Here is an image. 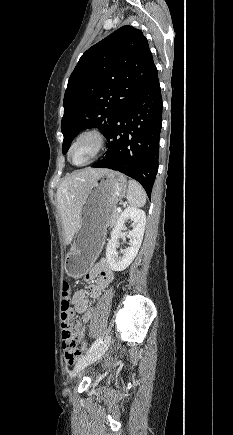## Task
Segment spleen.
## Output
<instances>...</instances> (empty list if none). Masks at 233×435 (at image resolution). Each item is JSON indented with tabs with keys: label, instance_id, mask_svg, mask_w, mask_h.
<instances>
[{
	"label": "spleen",
	"instance_id": "3e777b00",
	"mask_svg": "<svg viewBox=\"0 0 233 435\" xmlns=\"http://www.w3.org/2000/svg\"><path fill=\"white\" fill-rule=\"evenodd\" d=\"M127 200L131 206L142 207L146 203V193L135 180L128 181Z\"/></svg>",
	"mask_w": 233,
	"mask_h": 435
}]
</instances>
